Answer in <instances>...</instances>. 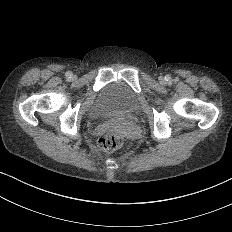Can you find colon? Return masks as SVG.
I'll use <instances>...</instances> for the list:
<instances>
[{
	"label": "colon",
	"mask_w": 232,
	"mask_h": 232,
	"mask_svg": "<svg viewBox=\"0 0 232 232\" xmlns=\"http://www.w3.org/2000/svg\"><path fill=\"white\" fill-rule=\"evenodd\" d=\"M127 139V129L123 122L112 120L107 123L101 136V149H115L116 145L123 144Z\"/></svg>",
	"instance_id": "5ec220e1"
}]
</instances>
